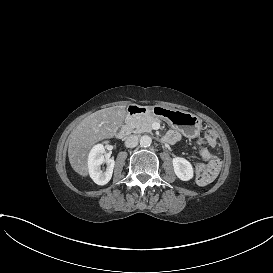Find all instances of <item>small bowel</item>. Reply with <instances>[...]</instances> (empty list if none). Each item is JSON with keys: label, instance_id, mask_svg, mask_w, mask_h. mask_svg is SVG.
I'll use <instances>...</instances> for the list:
<instances>
[{"label": "small bowel", "instance_id": "obj_1", "mask_svg": "<svg viewBox=\"0 0 273 273\" xmlns=\"http://www.w3.org/2000/svg\"><path fill=\"white\" fill-rule=\"evenodd\" d=\"M168 139H173L172 134H170L168 136ZM204 139H205L206 145L209 146V147L214 146L215 143H216V138H215L214 132L212 130H209V131H207L205 133ZM201 156H202L203 159L208 161V164H207L208 166H209L211 161L215 160L214 157L212 156L211 151L208 150V149L203 150L202 153H201ZM199 169H200V167L197 168V170H199Z\"/></svg>", "mask_w": 273, "mask_h": 273}]
</instances>
